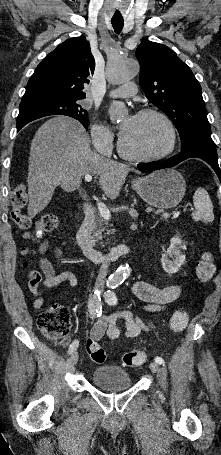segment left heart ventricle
Listing matches in <instances>:
<instances>
[{"label": "left heart ventricle", "instance_id": "obj_1", "mask_svg": "<svg viewBox=\"0 0 221 455\" xmlns=\"http://www.w3.org/2000/svg\"><path fill=\"white\" fill-rule=\"evenodd\" d=\"M126 122H129L128 130L121 136L126 150L135 154H153L168 146L167 128L158 117H132Z\"/></svg>", "mask_w": 221, "mask_h": 455}]
</instances>
